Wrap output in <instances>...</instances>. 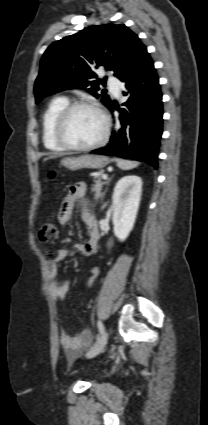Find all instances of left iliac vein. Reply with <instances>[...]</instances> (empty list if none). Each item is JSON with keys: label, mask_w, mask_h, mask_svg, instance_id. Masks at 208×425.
<instances>
[{"label": "left iliac vein", "mask_w": 208, "mask_h": 425, "mask_svg": "<svg viewBox=\"0 0 208 425\" xmlns=\"http://www.w3.org/2000/svg\"><path fill=\"white\" fill-rule=\"evenodd\" d=\"M107 340H108V332L104 330L101 336L98 338L97 342L94 344V346L88 351L86 357L93 358L97 356L98 354H100L104 350L107 344Z\"/></svg>", "instance_id": "obj_1"}]
</instances>
